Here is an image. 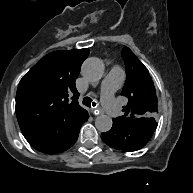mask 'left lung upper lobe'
I'll use <instances>...</instances> for the list:
<instances>
[{
    "label": "left lung upper lobe",
    "instance_id": "5c2ea615",
    "mask_svg": "<svg viewBox=\"0 0 193 193\" xmlns=\"http://www.w3.org/2000/svg\"><path fill=\"white\" fill-rule=\"evenodd\" d=\"M127 79L121 95L129 99L124 107L125 116L116 118L121 122L155 121L157 115L156 89L147 68L137 56L125 47L122 51Z\"/></svg>",
    "mask_w": 193,
    "mask_h": 193
}]
</instances>
